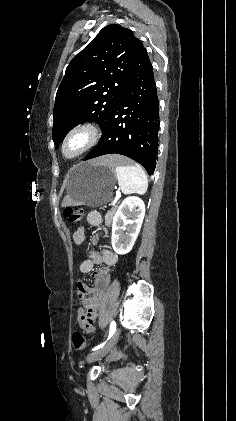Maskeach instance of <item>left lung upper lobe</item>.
Returning <instances> with one entry per match:
<instances>
[{"label": "left lung upper lobe", "instance_id": "obj_1", "mask_svg": "<svg viewBox=\"0 0 236 421\" xmlns=\"http://www.w3.org/2000/svg\"><path fill=\"white\" fill-rule=\"evenodd\" d=\"M141 46L130 29L111 24L72 59L56 94L55 145L79 123L95 121L104 126Z\"/></svg>", "mask_w": 236, "mask_h": 421}]
</instances>
